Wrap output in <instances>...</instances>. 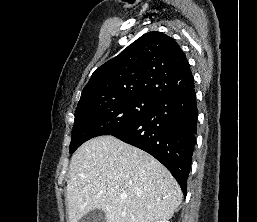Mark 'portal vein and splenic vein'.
<instances>
[{
	"label": "portal vein and splenic vein",
	"instance_id": "1",
	"mask_svg": "<svg viewBox=\"0 0 257 222\" xmlns=\"http://www.w3.org/2000/svg\"><path fill=\"white\" fill-rule=\"evenodd\" d=\"M126 197H127V196H126L125 194H122V195H121V198H122V199H125Z\"/></svg>",
	"mask_w": 257,
	"mask_h": 222
}]
</instances>
